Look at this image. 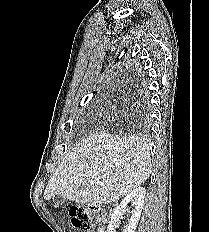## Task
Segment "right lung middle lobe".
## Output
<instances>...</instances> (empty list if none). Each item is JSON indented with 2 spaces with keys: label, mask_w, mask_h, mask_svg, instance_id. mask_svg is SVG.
I'll list each match as a JSON object with an SVG mask.
<instances>
[{
  "label": "right lung middle lobe",
  "mask_w": 209,
  "mask_h": 232,
  "mask_svg": "<svg viewBox=\"0 0 209 232\" xmlns=\"http://www.w3.org/2000/svg\"><path fill=\"white\" fill-rule=\"evenodd\" d=\"M137 126L141 128H148V101L146 98L138 105V114L135 117Z\"/></svg>",
  "instance_id": "right-lung-middle-lobe-1"
}]
</instances>
